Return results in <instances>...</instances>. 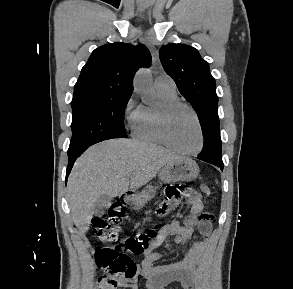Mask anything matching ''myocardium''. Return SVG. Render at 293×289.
<instances>
[{
	"mask_svg": "<svg viewBox=\"0 0 293 289\" xmlns=\"http://www.w3.org/2000/svg\"><path fill=\"white\" fill-rule=\"evenodd\" d=\"M179 108H185L189 110L196 122L198 133H199V143L196 149L192 151H184L177 148L170 140L168 135V120L170 115ZM157 124H158V133L161 138L162 143L171 149L172 151L183 155V156H196L198 155L204 147V133L201 121L199 119L196 111L189 104L182 102L180 100H174L169 102H163L157 110Z\"/></svg>",
	"mask_w": 293,
	"mask_h": 289,
	"instance_id": "f54148a6",
	"label": "myocardium"
}]
</instances>
